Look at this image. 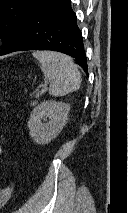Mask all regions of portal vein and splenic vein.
<instances>
[{"mask_svg":"<svg viewBox=\"0 0 128 213\" xmlns=\"http://www.w3.org/2000/svg\"><path fill=\"white\" fill-rule=\"evenodd\" d=\"M47 90V87L44 86L41 90H36L35 91V96L39 97L42 93H44Z\"/></svg>","mask_w":128,"mask_h":213,"instance_id":"portal-vein-and-splenic-vein-1","label":"portal vein and splenic vein"}]
</instances>
